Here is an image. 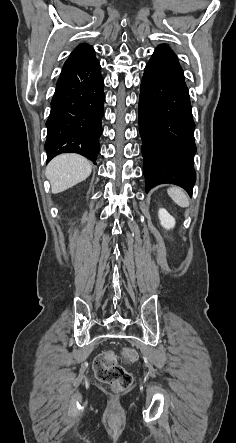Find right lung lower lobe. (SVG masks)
Listing matches in <instances>:
<instances>
[{
    "mask_svg": "<svg viewBox=\"0 0 236 443\" xmlns=\"http://www.w3.org/2000/svg\"><path fill=\"white\" fill-rule=\"evenodd\" d=\"M103 87L98 60L67 59L46 122L47 161L61 153L73 152L96 164L104 114Z\"/></svg>",
    "mask_w": 236,
    "mask_h": 443,
    "instance_id": "98d812e1",
    "label": "right lung lower lobe"
}]
</instances>
